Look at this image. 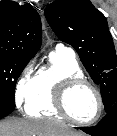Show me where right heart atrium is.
Instances as JSON below:
<instances>
[{
    "label": "right heart atrium",
    "mask_w": 117,
    "mask_h": 136,
    "mask_svg": "<svg viewBox=\"0 0 117 136\" xmlns=\"http://www.w3.org/2000/svg\"><path fill=\"white\" fill-rule=\"evenodd\" d=\"M34 81L33 62H30L22 70L14 86V102L17 107L25 104L33 93Z\"/></svg>",
    "instance_id": "1"
}]
</instances>
